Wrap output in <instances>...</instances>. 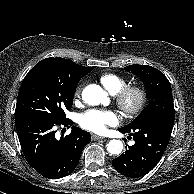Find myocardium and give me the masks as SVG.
Returning <instances> with one entry per match:
<instances>
[{
    "instance_id": "f54148a6",
    "label": "myocardium",
    "mask_w": 194,
    "mask_h": 194,
    "mask_svg": "<svg viewBox=\"0 0 194 194\" xmlns=\"http://www.w3.org/2000/svg\"><path fill=\"white\" fill-rule=\"evenodd\" d=\"M114 101L126 116H135L144 108L147 92L141 86L129 85L114 95Z\"/></svg>"
}]
</instances>
